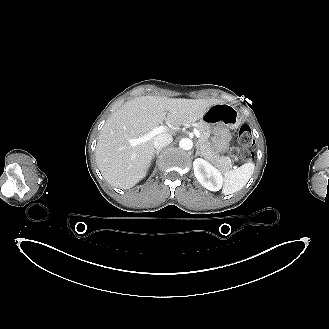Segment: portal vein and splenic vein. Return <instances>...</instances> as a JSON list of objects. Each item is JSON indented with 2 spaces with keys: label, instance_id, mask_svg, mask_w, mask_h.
I'll return each mask as SVG.
<instances>
[{
  "label": "portal vein and splenic vein",
  "instance_id": "1",
  "mask_svg": "<svg viewBox=\"0 0 329 329\" xmlns=\"http://www.w3.org/2000/svg\"><path fill=\"white\" fill-rule=\"evenodd\" d=\"M166 131V127L164 126H159V127H156L154 129H152V131L146 133L145 135H142L138 138H129L128 139V142L131 146H136V145H139L141 143H144V142H147L148 140L152 139L154 136L162 133ZM194 135L197 137V138H200L201 136V133L198 129H194Z\"/></svg>",
  "mask_w": 329,
  "mask_h": 329
}]
</instances>
